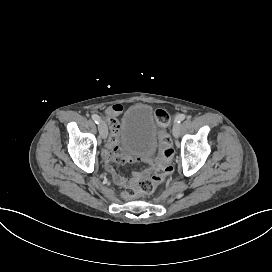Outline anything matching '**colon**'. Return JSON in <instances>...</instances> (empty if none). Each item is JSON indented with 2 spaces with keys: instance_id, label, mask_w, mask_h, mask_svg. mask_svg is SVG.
<instances>
[{
  "instance_id": "1",
  "label": "colon",
  "mask_w": 272,
  "mask_h": 272,
  "mask_svg": "<svg viewBox=\"0 0 272 272\" xmlns=\"http://www.w3.org/2000/svg\"><path fill=\"white\" fill-rule=\"evenodd\" d=\"M172 111L160 109L155 112V121L159 126L166 127L169 123V118ZM158 147L163 150L161 163L155 166V169L150 173H141L132 180L116 178L117 182L126 183V194L129 196H151L155 192V187L159 182H163L165 178L173 172V165L170 163V158L173 155V138L167 133L162 132L157 141ZM122 164V160L117 161Z\"/></svg>"
}]
</instances>
